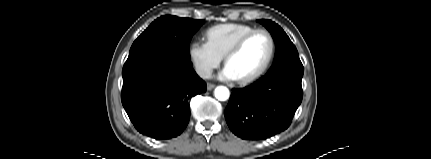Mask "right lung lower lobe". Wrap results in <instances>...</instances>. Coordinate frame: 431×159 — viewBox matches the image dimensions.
<instances>
[{
	"label": "right lung lower lobe",
	"instance_id": "right-lung-lower-lobe-1",
	"mask_svg": "<svg viewBox=\"0 0 431 159\" xmlns=\"http://www.w3.org/2000/svg\"><path fill=\"white\" fill-rule=\"evenodd\" d=\"M122 76L126 113L140 133L157 140L180 135L189 122L190 99L206 92L190 60L162 47L129 55Z\"/></svg>",
	"mask_w": 431,
	"mask_h": 159
}]
</instances>
